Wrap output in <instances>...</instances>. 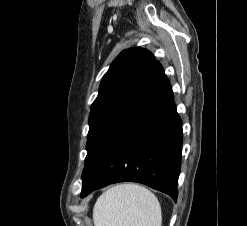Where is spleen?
<instances>
[{"instance_id":"3e777b00","label":"spleen","mask_w":247,"mask_h":226,"mask_svg":"<svg viewBox=\"0 0 247 226\" xmlns=\"http://www.w3.org/2000/svg\"><path fill=\"white\" fill-rule=\"evenodd\" d=\"M93 221L95 226H161V207L145 187L121 184L97 199Z\"/></svg>"}]
</instances>
